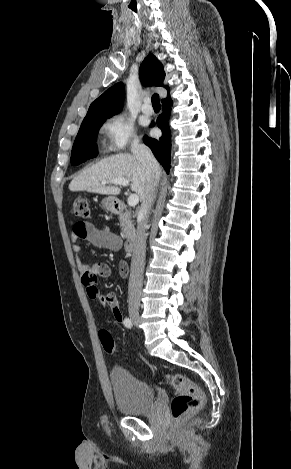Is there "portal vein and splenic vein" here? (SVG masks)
Returning a JSON list of instances; mask_svg holds the SVG:
<instances>
[{"label":"portal vein and splenic vein","mask_w":291,"mask_h":469,"mask_svg":"<svg viewBox=\"0 0 291 469\" xmlns=\"http://www.w3.org/2000/svg\"><path fill=\"white\" fill-rule=\"evenodd\" d=\"M103 184H116V185H122V186H128L129 185V180L125 179V178H117V179H112V180H109V181H103L102 182ZM128 205L129 206H136L139 202V197L137 194H131L129 197H128Z\"/></svg>","instance_id":"portal-vein-and-splenic-vein-1"}]
</instances>
